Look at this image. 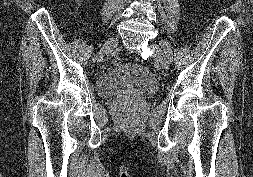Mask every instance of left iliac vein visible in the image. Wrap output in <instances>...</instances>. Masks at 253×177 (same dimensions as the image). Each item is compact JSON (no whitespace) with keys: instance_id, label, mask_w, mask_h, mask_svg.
I'll return each mask as SVG.
<instances>
[{"instance_id":"1","label":"left iliac vein","mask_w":253,"mask_h":177,"mask_svg":"<svg viewBox=\"0 0 253 177\" xmlns=\"http://www.w3.org/2000/svg\"><path fill=\"white\" fill-rule=\"evenodd\" d=\"M150 48L154 51V57L161 64L162 68L168 70L169 64L172 61V50L167 42H163L162 45L151 44Z\"/></svg>"}]
</instances>
